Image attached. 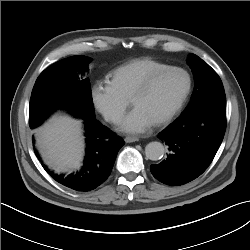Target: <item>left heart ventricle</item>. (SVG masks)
Instances as JSON below:
<instances>
[{"mask_svg": "<svg viewBox=\"0 0 250 250\" xmlns=\"http://www.w3.org/2000/svg\"><path fill=\"white\" fill-rule=\"evenodd\" d=\"M183 73L173 71L159 77L148 92L137 97L133 105L142 109L155 123L168 114L178 103L186 88Z\"/></svg>", "mask_w": 250, "mask_h": 250, "instance_id": "1", "label": "left heart ventricle"}]
</instances>
